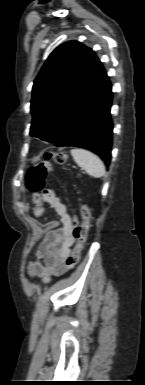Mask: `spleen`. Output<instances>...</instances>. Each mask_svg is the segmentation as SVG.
I'll list each match as a JSON object with an SVG mask.
<instances>
[{
  "instance_id": "spleen-1",
  "label": "spleen",
  "mask_w": 145,
  "mask_h": 385,
  "mask_svg": "<svg viewBox=\"0 0 145 385\" xmlns=\"http://www.w3.org/2000/svg\"><path fill=\"white\" fill-rule=\"evenodd\" d=\"M71 155L74 161L90 176L100 178L105 175V166L94 153L82 148H75L71 150Z\"/></svg>"
}]
</instances>
